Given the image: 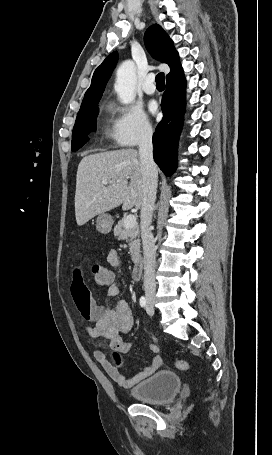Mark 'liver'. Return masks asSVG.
Here are the masks:
<instances>
[{
	"label": "liver",
	"mask_w": 272,
	"mask_h": 455,
	"mask_svg": "<svg viewBox=\"0 0 272 455\" xmlns=\"http://www.w3.org/2000/svg\"><path fill=\"white\" fill-rule=\"evenodd\" d=\"M103 180L109 185L105 186ZM143 197L141 161L135 149L96 153L85 156L79 163L75 192V216L79 226L121 204L123 210L139 209Z\"/></svg>",
	"instance_id": "6515ba94"
}]
</instances>
